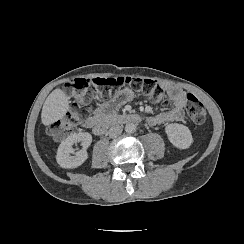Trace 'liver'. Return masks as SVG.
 <instances>
[{"label":"liver","mask_w":244,"mask_h":244,"mask_svg":"<svg viewBox=\"0 0 244 244\" xmlns=\"http://www.w3.org/2000/svg\"><path fill=\"white\" fill-rule=\"evenodd\" d=\"M70 110V100L62 88L54 89L46 98L42 111L41 122L48 126L64 118Z\"/></svg>","instance_id":"obj_1"}]
</instances>
